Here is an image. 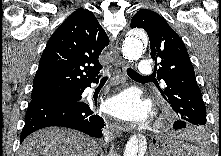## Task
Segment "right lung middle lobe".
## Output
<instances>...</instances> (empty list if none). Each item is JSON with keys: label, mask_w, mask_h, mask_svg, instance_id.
<instances>
[{"label": "right lung middle lobe", "mask_w": 221, "mask_h": 156, "mask_svg": "<svg viewBox=\"0 0 221 156\" xmlns=\"http://www.w3.org/2000/svg\"><path fill=\"white\" fill-rule=\"evenodd\" d=\"M78 98H80L79 91L52 96V97L46 98L44 100H63V101L64 100H69V101H72V100H76Z\"/></svg>", "instance_id": "obj_1"}]
</instances>
